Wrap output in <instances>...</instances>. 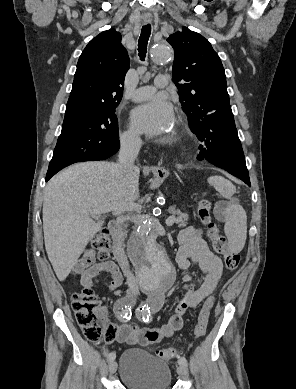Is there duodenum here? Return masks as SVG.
Instances as JSON below:
<instances>
[{"instance_id":"obj_1","label":"duodenum","mask_w":296,"mask_h":389,"mask_svg":"<svg viewBox=\"0 0 296 389\" xmlns=\"http://www.w3.org/2000/svg\"><path fill=\"white\" fill-rule=\"evenodd\" d=\"M108 229L113 240V254L118 261L123 273L129 274V262L123 247V239L120 230V223L117 220H111Z\"/></svg>"}]
</instances>
